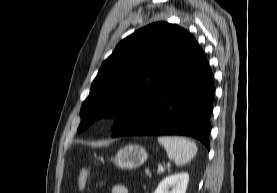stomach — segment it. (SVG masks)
<instances>
[{"label": "stomach", "instance_id": "0dacf381", "mask_svg": "<svg viewBox=\"0 0 277 193\" xmlns=\"http://www.w3.org/2000/svg\"><path fill=\"white\" fill-rule=\"evenodd\" d=\"M146 159L147 152L142 146L130 144L121 148L111 161L121 169L131 170L141 166Z\"/></svg>", "mask_w": 277, "mask_h": 193}]
</instances>
